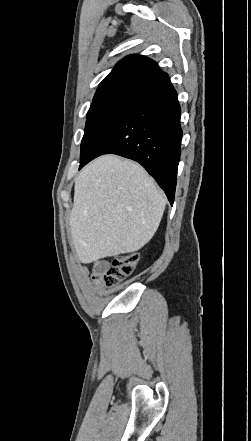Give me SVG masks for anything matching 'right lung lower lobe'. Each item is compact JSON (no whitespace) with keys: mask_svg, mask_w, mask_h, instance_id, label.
<instances>
[{"mask_svg":"<svg viewBox=\"0 0 251 441\" xmlns=\"http://www.w3.org/2000/svg\"><path fill=\"white\" fill-rule=\"evenodd\" d=\"M177 92L169 78L138 99L101 137L82 168L103 154L140 163L174 201L182 129Z\"/></svg>","mask_w":251,"mask_h":441,"instance_id":"1","label":"right lung lower lobe"}]
</instances>
